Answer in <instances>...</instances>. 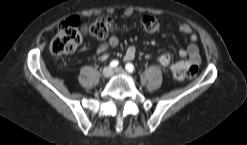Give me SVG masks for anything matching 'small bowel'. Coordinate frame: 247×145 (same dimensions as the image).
<instances>
[{
	"instance_id": "small-bowel-1",
	"label": "small bowel",
	"mask_w": 247,
	"mask_h": 145,
	"mask_svg": "<svg viewBox=\"0 0 247 145\" xmlns=\"http://www.w3.org/2000/svg\"><path fill=\"white\" fill-rule=\"evenodd\" d=\"M180 31L183 34H185L190 41L189 45L186 48L180 49L178 52L179 56L186 59L175 63H171V58L169 55H162L159 58V62L163 66H170L172 72H174L175 70L187 71L190 68L198 69V65L200 64V54H199L198 46L196 44L197 36L195 33H193L192 29L187 24L180 25ZM118 44H119V39L116 36H111L106 41L99 44L97 48V53L101 55L104 52H106L109 48L117 47ZM135 56H136V47L134 45H130L127 47L123 59L124 61H131L135 58ZM164 56H167L169 58L170 60L169 65H165L161 62V58Z\"/></svg>"
}]
</instances>
